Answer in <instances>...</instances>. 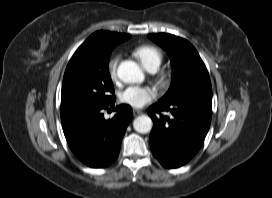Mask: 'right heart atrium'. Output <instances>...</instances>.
<instances>
[{
    "label": "right heart atrium",
    "instance_id": "right-heart-atrium-1",
    "mask_svg": "<svg viewBox=\"0 0 272 198\" xmlns=\"http://www.w3.org/2000/svg\"><path fill=\"white\" fill-rule=\"evenodd\" d=\"M120 61H121L120 54L113 55L108 61L107 69H108L109 76L112 79H115L117 77V69H118Z\"/></svg>",
    "mask_w": 272,
    "mask_h": 198
}]
</instances>
